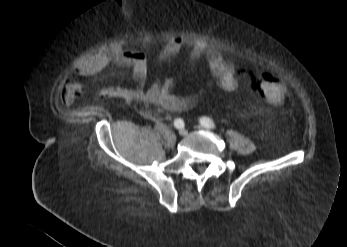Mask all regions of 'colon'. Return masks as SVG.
<instances>
[{
  "label": "colon",
  "mask_w": 347,
  "mask_h": 247,
  "mask_svg": "<svg viewBox=\"0 0 347 247\" xmlns=\"http://www.w3.org/2000/svg\"><path fill=\"white\" fill-rule=\"evenodd\" d=\"M258 91L262 99L271 105H280L287 98V87L272 69H263L257 74ZM114 96L113 94H109Z\"/></svg>",
  "instance_id": "5ec220e1"
}]
</instances>
